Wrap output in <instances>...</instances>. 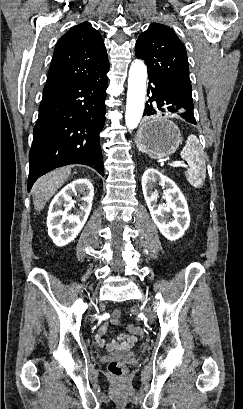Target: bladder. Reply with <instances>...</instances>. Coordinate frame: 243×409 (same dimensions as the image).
Here are the masks:
<instances>
[{"mask_svg": "<svg viewBox=\"0 0 243 409\" xmlns=\"http://www.w3.org/2000/svg\"><path fill=\"white\" fill-rule=\"evenodd\" d=\"M134 354H135L134 350H126L120 353V355L123 357H130V356H133Z\"/></svg>", "mask_w": 243, "mask_h": 409, "instance_id": "obj_1", "label": "bladder"}]
</instances>
